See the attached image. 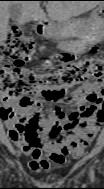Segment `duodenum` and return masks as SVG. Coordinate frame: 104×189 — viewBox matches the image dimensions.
<instances>
[{"mask_svg":"<svg viewBox=\"0 0 104 189\" xmlns=\"http://www.w3.org/2000/svg\"><path fill=\"white\" fill-rule=\"evenodd\" d=\"M48 27V21L47 20H41L38 22L37 32L42 35L44 31Z\"/></svg>","mask_w":104,"mask_h":189,"instance_id":"1","label":"duodenum"}]
</instances>
